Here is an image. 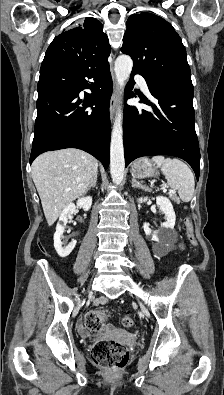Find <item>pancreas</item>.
<instances>
[{
  "label": "pancreas",
  "instance_id": "1",
  "mask_svg": "<svg viewBox=\"0 0 224 395\" xmlns=\"http://www.w3.org/2000/svg\"><path fill=\"white\" fill-rule=\"evenodd\" d=\"M169 197L174 201L179 203V199L175 194L169 193Z\"/></svg>",
  "mask_w": 224,
  "mask_h": 395
}]
</instances>
